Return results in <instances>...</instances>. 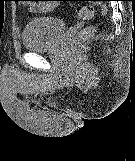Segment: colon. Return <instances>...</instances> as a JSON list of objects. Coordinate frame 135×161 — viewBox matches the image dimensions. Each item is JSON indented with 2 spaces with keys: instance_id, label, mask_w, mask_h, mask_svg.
Instances as JSON below:
<instances>
[{
  "instance_id": "1",
  "label": "colon",
  "mask_w": 135,
  "mask_h": 161,
  "mask_svg": "<svg viewBox=\"0 0 135 161\" xmlns=\"http://www.w3.org/2000/svg\"><path fill=\"white\" fill-rule=\"evenodd\" d=\"M102 12H103V14H106V12H107V8H106L105 5H102ZM93 13H94L93 5H84L81 8V12H80L81 16L84 17V18L91 17L93 15ZM94 33H95V28L94 27L89 26V27L85 28L74 39L73 47L75 49H80L86 43V41L91 36H93Z\"/></svg>"
}]
</instances>
